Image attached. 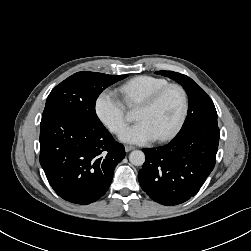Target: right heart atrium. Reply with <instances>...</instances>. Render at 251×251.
I'll list each match as a JSON object with an SVG mask.
<instances>
[{
  "label": "right heart atrium",
  "mask_w": 251,
  "mask_h": 251,
  "mask_svg": "<svg viewBox=\"0 0 251 251\" xmlns=\"http://www.w3.org/2000/svg\"><path fill=\"white\" fill-rule=\"evenodd\" d=\"M94 110L98 119L113 133L126 125V106L112 89L102 90L96 97Z\"/></svg>",
  "instance_id": "right-heart-atrium-1"
}]
</instances>
